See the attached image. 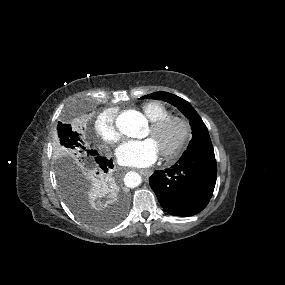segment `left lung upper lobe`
I'll use <instances>...</instances> for the list:
<instances>
[{"mask_svg": "<svg viewBox=\"0 0 285 285\" xmlns=\"http://www.w3.org/2000/svg\"><path fill=\"white\" fill-rule=\"evenodd\" d=\"M142 99H158L166 101L177 107L189 119L193 136L185 153L198 147L212 146L207 127L189 102L168 92H155L143 96Z\"/></svg>", "mask_w": 285, "mask_h": 285, "instance_id": "5c2ea615", "label": "left lung upper lobe"}]
</instances>
